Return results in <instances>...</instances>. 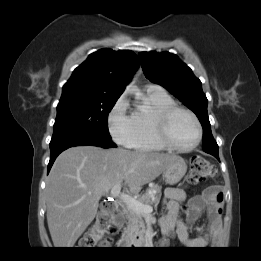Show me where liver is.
<instances>
[{
    "mask_svg": "<svg viewBox=\"0 0 261 261\" xmlns=\"http://www.w3.org/2000/svg\"><path fill=\"white\" fill-rule=\"evenodd\" d=\"M176 155L77 146L62 152L46 184L47 222L56 248H72L94 220L100 198L125 181L133 194L155 180Z\"/></svg>",
    "mask_w": 261,
    "mask_h": 261,
    "instance_id": "1",
    "label": "liver"
}]
</instances>
